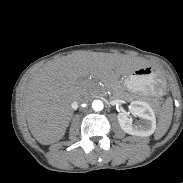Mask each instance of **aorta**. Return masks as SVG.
Returning <instances> with one entry per match:
<instances>
[{
	"label": "aorta",
	"instance_id": "aorta-1",
	"mask_svg": "<svg viewBox=\"0 0 183 183\" xmlns=\"http://www.w3.org/2000/svg\"><path fill=\"white\" fill-rule=\"evenodd\" d=\"M104 105L103 102L101 100H94L92 102V108L95 111H101L103 109Z\"/></svg>",
	"mask_w": 183,
	"mask_h": 183
}]
</instances>
